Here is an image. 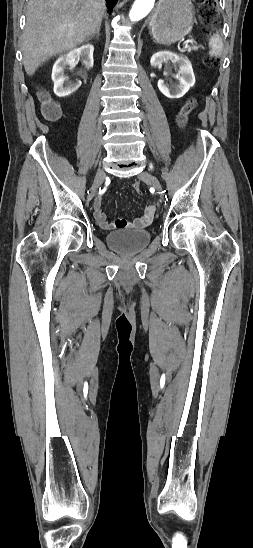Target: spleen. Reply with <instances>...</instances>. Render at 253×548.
Listing matches in <instances>:
<instances>
[{
	"mask_svg": "<svg viewBox=\"0 0 253 548\" xmlns=\"http://www.w3.org/2000/svg\"><path fill=\"white\" fill-rule=\"evenodd\" d=\"M209 46L211 47L210 54L220 57L223 52V42L218 33H215L211 36L209 40Z\"/></svg>",
	"mask_w": 253,
	"mask_h": 548,
	"instance_id": "spleen-1",
	"label": "spleen"
}]
</instances>
